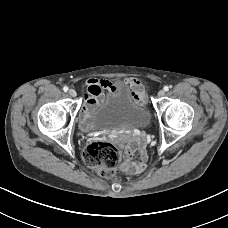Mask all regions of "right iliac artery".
Segmentation results:
<instances>
[{
  "label": "right iliac artery",
  "instance_id": "82829eb1",
  "mask_svg": "<svg viewBox=\"0 0 228 228\" xmlns=\"http://www.w3.org/2000/svg\"><path fill=\"white\" fill-rule=\"evenodd\" d=\"M63 91H64V92H67V91H68V87H67V86H64V87H63Z\"/></svg>",
  "mask_w": 228,
  "mask_h": 228
}]
</instances>
